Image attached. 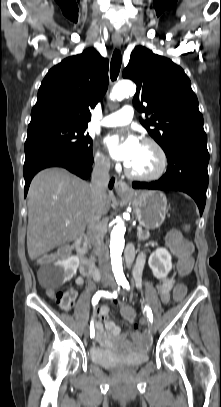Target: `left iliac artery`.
<instances>
[{
  "instance_id": "1",
  "label": "left iliac artery",
  "mask_w": 221,
  "mask_h": 407,
  "mask_svg": "<svg viewBox=\"0 0 221 407\" xmlns=\"http://www.w3.org/2000/svg\"><path fill=\"white\" fill-rule=\"evenodd\" d=\"M120 284L122 285V287L124 289L130 290L129 283L125 278L121 280ZM145 310H146L147 317L149 318V321L152 322L153 321V314H152V311H151L150 307L146 305Z\"/></svg>"
}]
</instances>
